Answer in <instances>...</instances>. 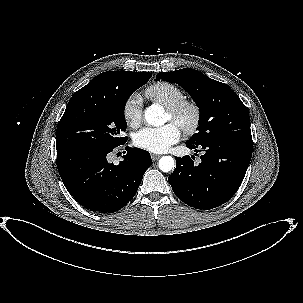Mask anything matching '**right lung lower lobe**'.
<instances>
[{"mask_svg": "<svg viewBox=\"0 0 303 303\" xmlns=\"http://www.w3.org/2000/svg\"><path fill=\"white\" fill-rule=\"evenodd\" d=\"M114 148L57 150L56 164L66 189L91 211L109 213L124 207L135 196L145 171L151 166L148 151L128 146L123 160L114 165L108 161Z\"/></svg>", "mask_w": 303, "mask_h": 303, "instance_id": "1", "label": "right lung lower lobe"}]
</instances>
